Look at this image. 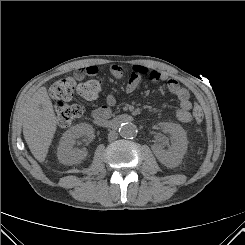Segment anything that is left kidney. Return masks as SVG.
Wrapping results in <instances>:
<instances>
[{
	"label": "left kidney",
	"instance_id": "1",
	"mask_svg": "<svg viewBox=\"0 0 245 245\" xmlns=\"http://www.w3.org/2000/svg\"><path fill=\"white\" fill-rule=\"evenodd\" d=\"M162 128L164 132L172 136L173 142L168 150L157 148L155 155L166 166L177 165L187 150L186 132L180 125L174 123H163Z\"/></svg>",
	"mask_w": 245,
	"mask_h": 245
}]
</instances>
